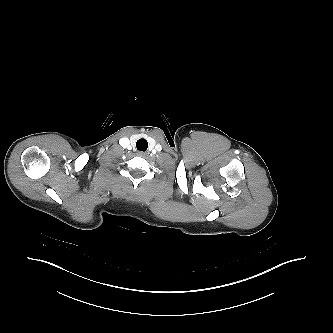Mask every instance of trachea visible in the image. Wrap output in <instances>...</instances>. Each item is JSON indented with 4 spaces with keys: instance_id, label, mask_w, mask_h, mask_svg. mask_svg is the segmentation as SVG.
I'll return each mask as SVG.
<instances>
[{
    "instance_id": "3493384b",
    "label": "trachea",
    "mask_w": 333,
    "mask_h": 333,
    "mask_svg": "<svg viewBox=\"0 0 333 333\" xmlns=\"http://www.w3.org/2000/svg\"><path fill=\"white\" fill-rule=\"evenodd\" d=\"M136 147L139 151H146L148 148V142L145 139L141 138L137 141Z\"/></svg>"
}]
</instances>
